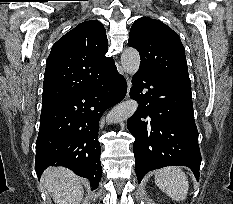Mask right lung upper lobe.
Listing matches in <instances>:
<instances>
[{
	"mask_svg": "<svg viewBox=\"0 0 233 204\" xmlns=\"http://www.w3.org/2000/svg\"><path fill=\"white\" fill-rule=\"evenodd\" d=\"M108 40L103 25L85 21L52 47L46 62L42 105H51L97 83L113 66L106 57Z\"/></svg>",
	"mask_w": 233,
	"mask_h": 204,
	"instance_id": "right-lung-upper-lobe-1",
	"label": "right lung upper lobe"
}]
</instances>
